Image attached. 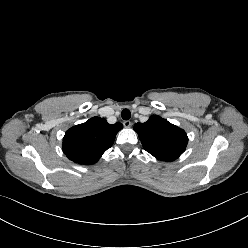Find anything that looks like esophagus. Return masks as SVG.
<instances>
[{"label":"esophagus","instance_id":"esophagus-1","mask_svg":"<svg viewBox=\"0 0 248 248\" xmlns=\"http://www.w3.org/2000/svg\"><path fill=\"white\" fill-rule=\"evenodd\" d=\"M123 125H124V127L129 128V127H131L132 123H131V121H129V120H125V121L123 122Z\"/></svg>","mask_w":248,"mask_h":248}]
</instances>
